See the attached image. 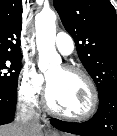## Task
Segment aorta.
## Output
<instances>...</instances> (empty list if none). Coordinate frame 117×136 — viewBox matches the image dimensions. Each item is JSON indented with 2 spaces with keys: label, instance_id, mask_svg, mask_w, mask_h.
Here are the masks:
<instances>
[{
  "label": "aorta",
  "instance_id": "obj_1",
  "mask_svg": "<svg viewBox=\"0 0 117 136\" xmlns=\"http://www.w3.org/2000/svg\"><path fill=\"white\" fill-rule=\"evenodd\" d=\"M56 19V14L51 10L36 16V44L39 52L38 66L43 72L61 64V58L55 49Z\"/></svg>",
  "mask_w": 117,
  "mask_h": 136
}]
</instances>
